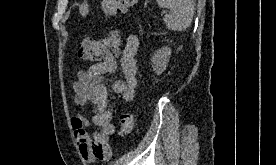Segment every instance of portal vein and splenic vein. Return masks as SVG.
I'll use <instances>...</instances> for the list:
<instances>
[{
  "mask_svg": "<svg viewBox=\"0 0 276 165\" xmlns=\"http://www.w3.org/2000/svg\"><path fill=\"white\" fill-rule=\"evenodd\" d=\"M162 13H166V10H163Z\"/></svg>",
  "mask_w": 276,
  "mask_h": 165,
  "instance_id": "18ae733b",
  "label": "portal vein and splenic vein"
}]
</instances>
